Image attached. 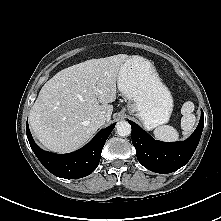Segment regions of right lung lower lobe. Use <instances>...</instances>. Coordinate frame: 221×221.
Instances as JSON below:
<instances>
[{
    "label": "right lung lower lobe",
    "mask_w": 221,
    "mask_h": 221,
    "mask_svg": "<svg viewBox=\"0 0 221 221\" xmlns=\"http://www.w3.org/2000/svg\"><path fill=\"white\" fill-rule=\"evenodd\" d=\"M116 123L100 130L96 136L81 149L68 154H54L42 150L33 140L28 124L27 138L36 157L53 175L65 179H76L90 175L100 162L103 146Z\"/></svg>",
    "instance_id": "98d812e1"
}]
</instances>
